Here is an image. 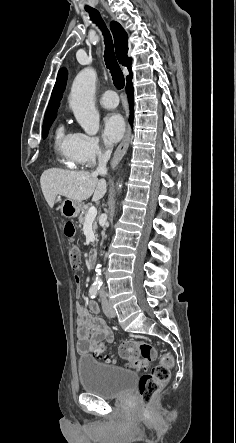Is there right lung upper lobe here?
<instances>
[{"label": "right lung upper lobe", "mask_w": 236, "mask_h": 443, "mask_svg": "<svg viewBox=\"0 0 236 443\" xmlns=\"http://www.w3.org/2000/svg\"><path fill=\"white\" fill-rule=\"evenodd\" d=\"M110 29L112 31L115 42V51L117 59L120 64L127 66L129 72L131 73V58L127 57V52H128L127 34L122 28V26L115 21H112L110 23ZM66 80H67V71L64 68H62L58 72L57 80L52 91L51 99L45 113L44 122L56 117L57 108L59 107V102L62 98L63 91L66 86Z\"/></svg>", "instance_id": "right-lung-upper-lobe-1"}]
</instances>
